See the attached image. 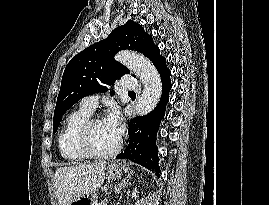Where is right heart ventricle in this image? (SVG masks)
Masks as SVG:
<instances>
[{"instance_id":"obj_1","label":"right heart ventricle","mask_w":269,"mask_h":205,"mask_svg":"<svg viewBox=\"0 0 269 205\" xmlns=\"http://www.w3.org/2000/svg\"><path fill=\"white\" fill-rule=\"evenodd\" d=\"M90 116L91 113L81 107L66 116L58 135V148L64 160L81 162L87 158L78 146L77 136L81 126Z\"/></svg>"}]
</instances>
